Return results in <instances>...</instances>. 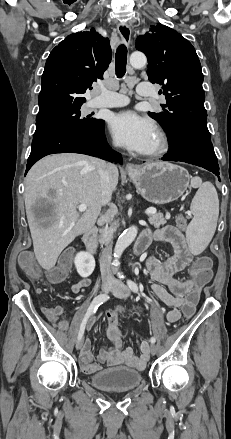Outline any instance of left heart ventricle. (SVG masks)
<instances>
[{
    "instance_id": "b2bd125f",
    "label": "left heart ventricle",
    "mask_w": 231,
    "mask_h": 439,
    "mask_svg": "<svg viewBox=\"0 0 231 439\" xmlns=\"http://www.w3.org/2000/svg\"><path fill=\"white\" fill-rule=\"evenodd\" d=\"M157 142H158V138H157V135L155 134V136H154L151 144L149 145L147 151L153 149L154 147H156Z\"/></svg>"
}]
</instances>
